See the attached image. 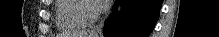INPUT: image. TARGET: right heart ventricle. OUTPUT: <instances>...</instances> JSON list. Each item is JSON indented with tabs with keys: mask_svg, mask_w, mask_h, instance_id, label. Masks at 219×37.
<instances>
[{
	"mask_svg": "<svg viewBox=\"0 0 219 37\" xmlns=\"http://www.w3.org/2000/svg\"><path fill=\"white\" fill-rule=\"evenodd\" d=\"M85 0H57L56 22L60 30L85 28L87 20L83 14Z\"/></svg>",
	"mask_w": 219,
	"mask_h": 37,
	"instance_id": "obj_1",
	"label": "right heart ventricle"
}]
</instances>
